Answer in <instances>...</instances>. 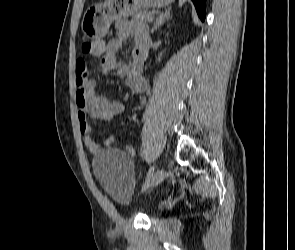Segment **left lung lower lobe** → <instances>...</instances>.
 <instances>
[{"instance_id":"obj_1","label":"left lung lower lobe","mask_w":295,"mask_h":250,"mask_svg":"<svg viewBox=\"0 0 295 250\" xmlns=\"http://www.w3.org/2000/svg\"><path fill=\"white\" fill-rule=\"evenodd\" d=\"M197 13L202 21L205 19V2L206 0H192Z\"/></svg>"}]
</instances>
